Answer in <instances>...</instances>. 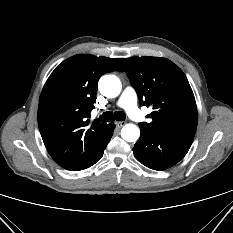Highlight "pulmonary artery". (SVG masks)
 <instances>
[{"label": "pulmonary artery", "instance_id": "e3ab8cb5", "mask_svg": "<svg viewBox=\"0 0 233 233\" xmlns=\"http://www.w3.org/2000/svg\"><path fill=\"white\" fill-rule=\"evenodd\" d=\"M117 105L126 110L128 115L137 121H144L145 116L140 112L137 106V95L131 86H127L121 93Z\"/></svg>", "mask_w": 233, "mask_h": 233}]
</instances>
